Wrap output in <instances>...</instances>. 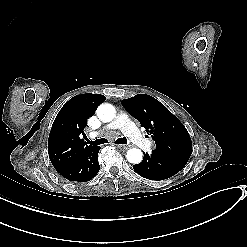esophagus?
<instances>
[{
  "mask_svg": "<svg viewBox=\"0 0 247 247\" xmlns=\"http://www.w3.org/2000/svg\"><path fill=\"white\" fill-rule=\"evenodd\" d=\"M117 148L122 150V151H125L127 150L129 147L128 146H125V145H117Z\"/></svg>",
  "mask_w": 247,
  "mask_h": 247,
  "instance_id": "obj_1",
  "label": "esophagus"
}]
</instances>
